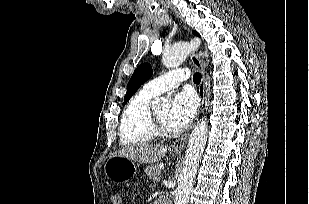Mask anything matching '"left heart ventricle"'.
I'll return each mask as SVG.
<instances>
[{
    "instance_id": "1",
    "label": "left heart ventricle",
    "mask_w": 309,
    "mask_h": 204,
    "mask_svg": "<svg viewBox=\"0 0 309 204\" xmlns=\"http://www.w3.org/2000/svg\"><path fill=\"white\" fill-rule=\"evenodd\" d=\"M155 114L157 115L158 119L164 123L165 125H168V115H169V109L168 108H162L155 111Z\"/></svg>"
}]
</instances>
